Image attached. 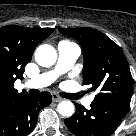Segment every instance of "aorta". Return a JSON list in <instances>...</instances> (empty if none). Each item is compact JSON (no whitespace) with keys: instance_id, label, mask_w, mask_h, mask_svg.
Listing matches in <instances>:
<instances>
[{"instance_id":"obj_1","label":"aorta","mask_w":136,"mask_h":136,"mask_svg":"<svg viewBox=\"0 0 136 136\" xmlns=\"http://www.w3.org/2000/svg\"><path fill=\"white\" fill-rule=\"evenodd\" d=\"M57 59L54 47L48 44L40 45L35 52V60L42 67L52 66ZM58 113L65 117H70L74 113V105L70 101H62L58 104Z\"/></svg>"}]
</instances>
